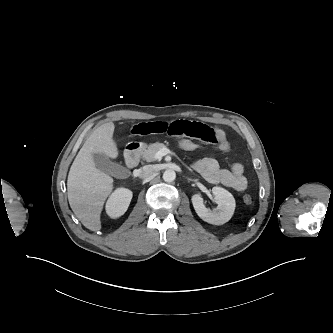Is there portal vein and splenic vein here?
Instances as JSON below:
<instances>
[{
  "instance_id": "portal-vein-and-splenic-vein-1",
  "label": "portal vein and splenic vein",
  "mask_w": 333,
  "mask_h": 333,
  "mask_svg": "<svg viewBox=\"0 0 333 333\" xmlns=\"http://www.w3.org/2000/svg\"><path fill=\"white\" fill-rule=\"evenodd\" d=\"M171 153V151L168 148H162L155 154V157L158 159H161L163 156Z\"/></svg>"
}]
</instances>
